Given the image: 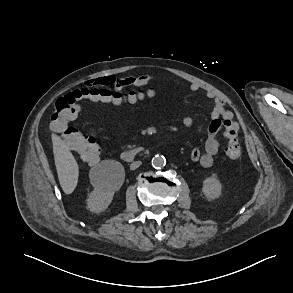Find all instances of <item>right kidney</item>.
<instances>
[{"label": "right kidney", "instance_id": "right-kidney-1", "mask_svg": "<svg viewBox=\"0 0 293 293\" xmlns=\"http://www.w3.org/2000/svg\"><path fill=\"white\" fill-rule=\"evenodd\" d=\"M104 164L107 167V177L101 183H95L94 190L87 199V208L96 214L108 208L115 191L120 189L125 177L124 168L119 162L106 160Z\"/></svg>", "mask_w": 293, "mask_h": 293}]
</instances>
